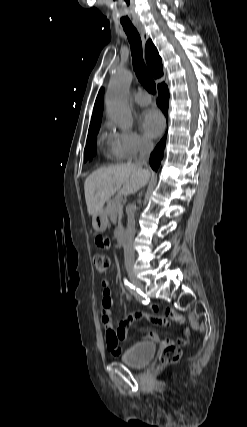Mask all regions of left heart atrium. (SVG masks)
<instances>
[{"mask_svg": "<svg viewBox=\"0 0 247 427\" xmlns=\"http://www.w3.org/2000/svg\"><path fill=\"white\" fill-rule=\"evenodd\" d=\"M141 127L147 136L155 138L163 131L164 119L160 112L149 109L141 117Z\"/></svg>", "mask_w": 247, "mask_h": 427, "instance_id": "left-heart-atrium-1", "label": "left heart atrium"}]
</instances>
